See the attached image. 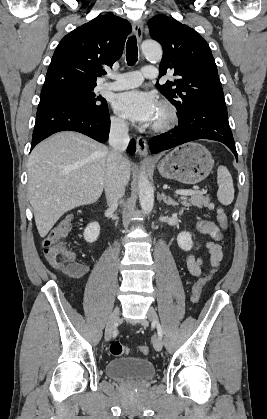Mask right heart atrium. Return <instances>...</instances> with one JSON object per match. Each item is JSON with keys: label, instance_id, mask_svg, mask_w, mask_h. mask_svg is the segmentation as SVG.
I'll list each match as a JSON object with an SVG mask.
<instances>
[{"label": "right heart atrium", "instance_id": "right-heart-atrium-1", "mask_svg": "<svg viewBox=\"0 0 267 419\" xmlns=\"http://www.w3.org/2000/svg\"><path fill=\"white\" fill-rule=\"evenodd\" d=\"M111 126L117 131H125L127 129V123L120 115H113L111 117Z\"/></svg>", "mask_w": 267, "mask_h": 419}]
</instances>
